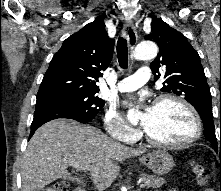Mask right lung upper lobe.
I'll return each mask as SVG.
<instances>
[{"label": "right lung upper lobe", "mask_w": 221, "mask_h": 191, "mask_svg": "<svg viewBox=\"0 0 221 191\" xmlns=\"http://www.w3.org/2000/svg\"><path fill=\"white\" fill-rule=\"evenodd\" d=\"M114 42L108 37L102 16L67 38L50 62L37 100L74 93L95 95L100 71L112 60Z\"/></svg>", "instance_id": "obj_1"}]
</instances>
